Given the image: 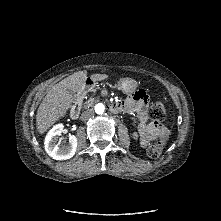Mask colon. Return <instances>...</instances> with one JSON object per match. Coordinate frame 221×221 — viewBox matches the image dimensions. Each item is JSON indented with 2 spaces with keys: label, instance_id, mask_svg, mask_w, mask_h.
I'll use <instances>...</instances> for the list:
<instances>
[{
  "label": "colon",
  "instance_id": "5ec220e1",
  "mask_svg": "<svg viewBox=\"0 0 221 221\" xmlns=\"http://www.w3.org/2000/svg\"><path fill=\"white\" fill-rule=\"evenodd\" d=\"M166 106L165 104L160 101L156 100L153 101L148 109V116L155 120H163L166 117ZM168 137V132L165 131L161 134V136L155 140L148 148L147 154L151 158H157L162 153V150L164 148L166 139Z\"/></svg>",
  "mask_w": 221,
  "mask_h": 221
}]
</instances>
